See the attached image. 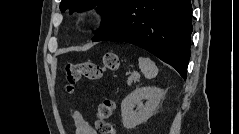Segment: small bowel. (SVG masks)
Returning a JSON list of instances; mask_svg holds the SVG:
<instances>
[{
	"instance_id": "obj_1",
	"label": "small bowel",
	"mask_w": 239,
	"mask_h": 134,
	"mask_svg": "<svg viewBox=\"0 0 239 134\" xmlns=\"http://www.w3.org/2000/svg\"><path fill=\"white\" fill-rule=\"evenodd\" d=\"M71 115L74 121L76 134H96L95 129L90 125L80 111L72 109Z\"/></svg>"
}]
</instances>
